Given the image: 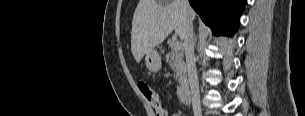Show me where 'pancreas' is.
I'll return each instance as SVG.
<instances>
[{
    "mask_svg": "<svg viewBox=\"0 0 305 116\" xmlns=\"http://www.w3.org/2000/svg\"><path fill=\"white\" fill-rule=\"evenodd\" d=\"M166 62L174 69L176 78L181 83L186 77V66L183 59V49H175L171 45V51L166 54Z\"/></svg>",
    "mask_w": 305,
    "mask_h": 116,
    "instance_id": "cf45deb5",
    "label": "pancreas"
}]
</instances>
